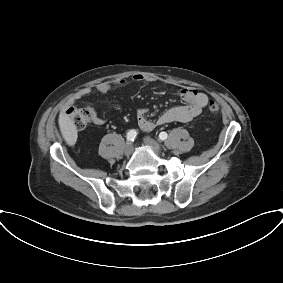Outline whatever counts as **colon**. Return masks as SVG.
Listing matches in <instances>:
<instances>
[{
    "instance_id": "5ec220e1",
    "label": "colon",
    "mask_w": 283,
    "mask_h": 283,
    "mask_svg": "<svg viewBox=\"0 0 283 283\" xmlns=\"http://www.w3.org/2000/svg\"><path fill=\"white\" fill-rule=\"evenodd\" d=\"M208 111L216 115L219 112V105L214 100H209ZM65 117L78 130L85 129L92 120L90 109L79 106L69 107L65 112Z\"/></svg>"
}]
</instances>
